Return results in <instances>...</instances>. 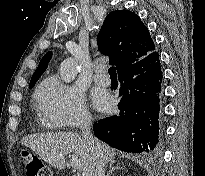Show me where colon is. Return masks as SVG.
<instances>
[{
    "instance_id": "5ec220e1",
    "label": "colon",
    "mask_w": 205,
    "mask_h": 176,
    "mask_svg": "<svg viewBox=\"0 0 205 176\" xmlns=\"http://www.w3.org/2000/svg\"><path fill=\"white\" fill-rule=\"evenodd\" d=\"M26 164V176H52L51 169L32 153H26L23 157Z\"/></svg>"
}]
</instances>
